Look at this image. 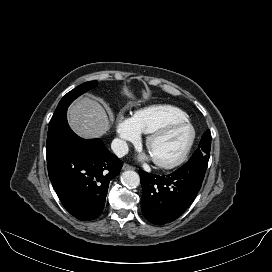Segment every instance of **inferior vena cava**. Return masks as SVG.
Segmentation results:
<instances>
[{
  "label": "inferior vena cava",
  "instance_id": "inferior-vena-cava-1",
  "mask_svg": "<svg viewBox=\"0 0 272 272\" xmlns=\"http://www.w3.org/2000/svg\"><path fill=\"white\" fill-rule=\"evenodd\" d=\"M111 149L114 154L118 157H123L128 154L129 148L127 143L121 139H114L111 143Z\"/></svg>",
  "mask_w": 272,
  "mask_h": 272
}]
</instances>
